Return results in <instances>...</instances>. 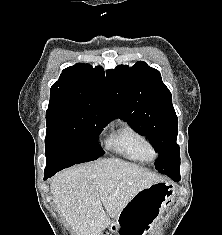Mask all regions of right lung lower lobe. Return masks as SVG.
Returning <instances> with one entry per match:
<instances>
[{
  "instance_id": "right-lung-lower-lobe-1",
  "label": "right lung lower lobe",
  "mask_w": 222,
  "mask_h": 235,
  "mask_svg": "<svg viewBox=\"0 0 222 235\" xmlns=\"http://www.w3.org/2000/svg\"><path fill=\"white\" fill-rule=\"evenodd\" d=\"M56 172H50V173H44V180H46L47 178L53 176Z\"/></svg>"
}]
</instances>
